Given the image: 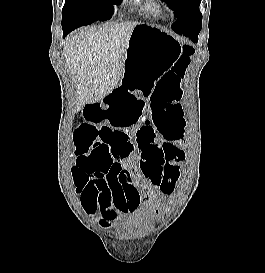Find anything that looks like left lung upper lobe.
Here are the masks:
<instances>
[{"label": "left lung upper lobe", "mask_w": 265, "mask_h": 273, "mask_svg": "<svg viewBox=\"0 0 265 273\" xmlns=\"http://www.w3.org/2000/svg\"><path fill=\"white\" fill-rule=\"evenodd\" d=\"M171 9L174 10V14L177 20L172 25L178 24L185 17L190 15H198L202 17L199 11V5L201 0H163Z\"/></svg>", "instance_id": "1"}]
</instances>
